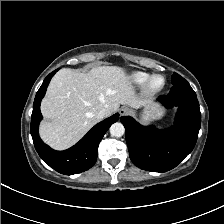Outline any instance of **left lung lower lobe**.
Returning <instances> with one entry per match:
<instances>
[{
  "mask_svg": "<svg viewBox=\"0 0 224 224\" xmlns=\"http://www.w3.org/2000/svg\"><path fill=\"white\" fill-rule=\"evenodd\" d=\"M167 108L178 106L175 125L167 130L141 126L133 118H120L126 130V142L132 162L152 172L176 167L194 148L201 124L195 92L185 80L158 98Z\"/></svg>",
  "mask_w": 224,
  "mask_h": 224,
  "instance_id": "obj_1",
  "label": "left lung lower lobe"
}]
</instances>
